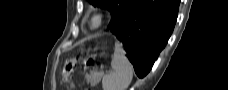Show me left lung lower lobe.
I'll return each mask as SVG.
<instances>
[{
	"instance_id": "0a47b994",
	"label": "left lung lower lobe",
	"mask_w": 228,
	"mask_h": 90,
	"mask_svg": "<svg viewBox=\"0 0 228 90\" xmlns=\"http://www.w3.org/2000/svg\"><path fill=\"white\" fill-rule=\"evenodd\" d=\"M180 0H130L110 25L142 78L165 47L176 22Z\"/></svg>"
}]
</instances>
